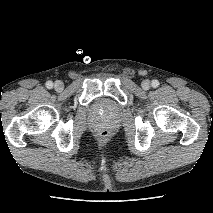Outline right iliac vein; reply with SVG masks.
Returning a JSON list of instances; mask_svg holds the SVG:
<instances>
[{"label":"right iliac vein","mask_w":213,"mask_h":213,"mask_svg":"<svg viewBox=\"0 0 213 213\" xmlns=\"http://www.w3.org/2000/svg\"><path fill=\"white\" fill-rule=\"evenodd\" d=\"M54 88L56 91L61 92L64 88V83L62 81L58 80L55 82Z\"/></svg>","instance_id":"63e3f726"}]
</instances>
